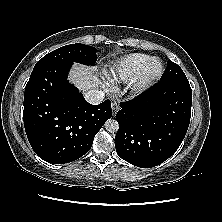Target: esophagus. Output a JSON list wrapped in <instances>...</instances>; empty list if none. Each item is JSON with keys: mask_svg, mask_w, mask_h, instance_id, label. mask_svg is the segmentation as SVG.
Masks as SVG:
<instances>
[{"mask_svg": "<svg viewBox=\"0 0 222 222\" xmlns=\"http://www.w3.org/2000/svg\"><path fill=\"white\" fill-rule=\"evenodd\" d=\"M112 107V114L113 116H115V114L117 113V111L120 109L119 103L114 101L111 105Z\"/></svg>", "mask_w": 222, "mask_h": 222, "instance_id": "esophagus-1", "label": "esophagus"}]
</instances>
